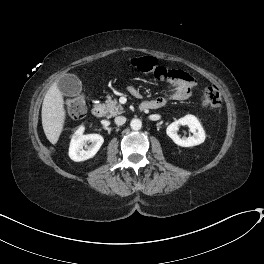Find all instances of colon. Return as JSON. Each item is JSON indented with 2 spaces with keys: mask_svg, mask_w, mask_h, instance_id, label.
<instances>
[{
  "mask_svg": "<svg viewBox=\"0 0 264 264\" xmlns=\"http://www.w3.org/2000/svg\"><path fill=\"white\" fill-rule=\"evenodd\" d=\"M131 66L138 71L152 74L162 80L172 76L171 70H168L158 60L152 57L134 58L131 60ZM202 103L213 108H219L222 105V96L219 89L213 84L207 83L203 89ZM85 109L86 105L83 95H78L66 105V112L73 119L82 118Z\"/></svg>",
  "mask_w": 264,
  "mask_h": 264,
  "instance_id": "obj_1",
  "label": "colon"
}]
</instances>
